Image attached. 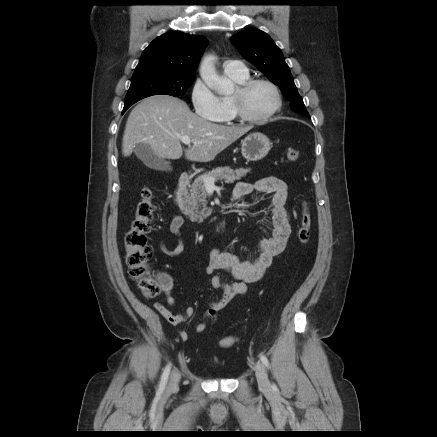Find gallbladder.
Listing matches in <instances>:
<instances>
[{"instance_id": "obj_1", "label": "gallbladder", "mask_w": 437, "mask_h": 437, "mask_svg": "<svg viewBox=\"0 0 437 437\" xmlns=\"http://www.w3.org/2000/svg\"><path fill=\"white\" fill-rule=\"evenodd\" d=\"M133 152L147 167L151 169L164 171L169 166L168 162L163 158L158 157L148 144H136Z\"/></svg>"}]
</instances>
